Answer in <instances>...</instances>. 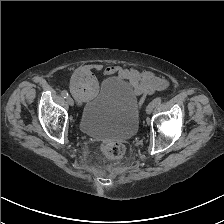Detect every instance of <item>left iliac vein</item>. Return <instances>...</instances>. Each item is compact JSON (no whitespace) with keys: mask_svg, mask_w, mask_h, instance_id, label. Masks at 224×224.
<instances>
[{"mask_svg":"<svg viewBox=\"0 0 224 224\" xmlns=\"http://www.w3.org/2000/svg\"><path fill=\"white\" fill-rule=\"evenodd\" d=\"M155 108V104L153 102H151L150 104H148V106L146 107V113L147 114H151L152 111L154 110Z\"/></svg>","mask_w":224,"mask_h":224,"instance_id":"4c4485c4","label":"left iliac vein"}]
</instances>
